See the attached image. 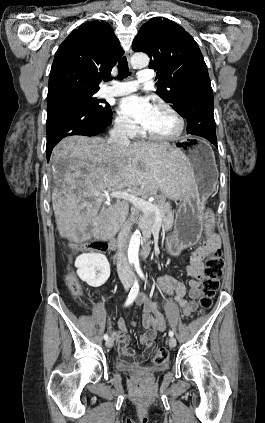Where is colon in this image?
Wrapping results in <instances>:
<instances>
[{"label":"colon","instance_id":"obj_1","mask_svg":"<svg viewBox=\"0 0 265 423\" xmlns=\"http://www.w3.org/2000/svg\"><path fill=\"white\" fill-rule=\"evenodd\" d=\"M214 217L211 212L206 213V231L211 232L213 228ZM88 250L103 252L107 249V243L104 241L90 242L85 245ZM224 272V260L218 249L209 253L204 269L205 278L202 282V295L199 298V314L204 312L212 306V299L215 296L220 280ZM66 284L74 296H80L82 288L79 280L73 273L66 275ZM169 357V351L165 347L156 348L151 355V361L154 365L164 364Z\"/></svg>","mask_w":265,"mask_h":423}]
</instances>
